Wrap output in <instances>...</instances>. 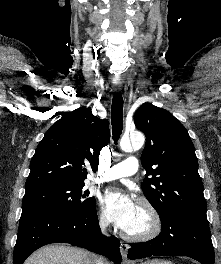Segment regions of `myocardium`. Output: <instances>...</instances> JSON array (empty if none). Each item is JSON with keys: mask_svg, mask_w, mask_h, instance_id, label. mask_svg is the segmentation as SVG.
<instances>
[{"mask_svg": "<svg viewBox=\"0 0 221 264\" xmlns=\"http://www.w3.org/2000/svg\"><path fill=\"white\" fill-rule=\"evenodd\" d=\"M139 207L142 208L147 214L149 224L148 227L138 233H131L123 230V236L131 241H148L157 237L162 229V220L159 212L152 203L143 199L139 202Z\"/></svg>", "mask_w": 221, "mask_h": 264, "instance_id": "myocardium-1", "label": "myocardium"}]
</instances>
